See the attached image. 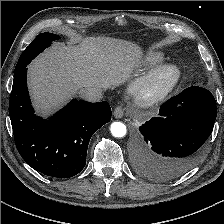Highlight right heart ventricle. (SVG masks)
Here are the masks:
<instances>
[{"label":"right heart ventricle","mask_w":224,"mask_h":224,"mask_svg":"<svg viewBox=\"0 0 224 224\" xmlns=\"http://www.w3.org/2000/svg\"><path fill=\"white\" fill-rule=\"evenodd\" d=\"M165 59V55L161 52H148L142 59V67L149 68L161 63Z\"/></svg>","instance_id":"right-heart-ventricle-1"}]
</instances>
